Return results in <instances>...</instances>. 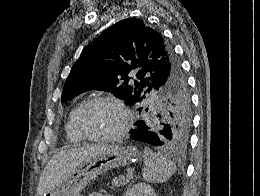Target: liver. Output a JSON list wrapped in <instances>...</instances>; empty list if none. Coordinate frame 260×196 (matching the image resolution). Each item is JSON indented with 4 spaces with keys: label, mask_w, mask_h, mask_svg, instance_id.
<instances>
[{
    "label": "liver",
    "mask_w": 260,
    "mask_h": 196,
    "mask_svg": "<svg viewBox=\"0 0 260 196\" xmlns=\"http://www.w3.org/2000/svg\"><path fill=\"white\" fill-rule=\"evenodd\" d=\"M106 146H75L72 150H63L52 156L50 162L45 166L39 180L37 196H43L47 192H54L57 186H62L65 180H69L74 168L80 166L85 160H90Z\"/></svg>",
    "instance_id": "obj_1"
}]
</instances>
